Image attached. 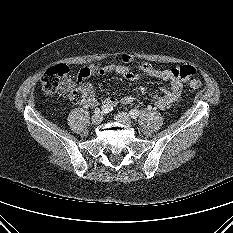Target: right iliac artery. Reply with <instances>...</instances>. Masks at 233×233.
<instances>
[{
  "label": "right iliac artery",
  "instance_id": "right-iliac-artery-1",
  "mask_svg": "<svg viewBox=\"0 0 233 233\" xmlns=\"http://www.w3.org/2000/svg\"><path fill=\"white\" fill-rule=\"evenodd\" d=\"M101 110H102L103 113L107 114V113H109V112H111L113 110V107L110 106V105H108V104H105V105H103L101 107ZM97 112H100V111L99 110H95V113H97Z\"/></svg>",
  "mask_w": 233,
  "mask_h": 233
}]
</instances>
